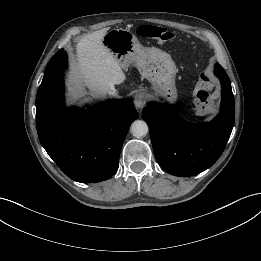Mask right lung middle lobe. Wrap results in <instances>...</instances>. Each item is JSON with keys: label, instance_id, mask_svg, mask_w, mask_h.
<instances>
[{"label": "right lung middle lobe", "instance_id": "1", "mask_svg": "<svg viewBox=\"0 0 261 261\" xmlns=\"http://www.w3.org/2000/svg\"><path fill=\"white\" fill-rule=\"evenodd\" d=\"M67 62L68 60L66 52L64 49H60L49 61L37 94H40L45 89H47L48 86L54 82L56 77L64 72V70L67 68Z\"/></svg>", "mask_w": 261, "mask_h": 261}]
</instances>
